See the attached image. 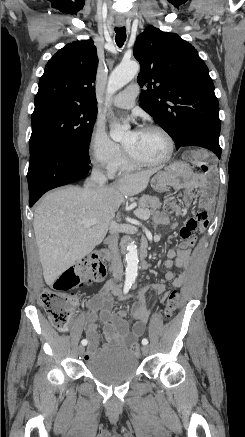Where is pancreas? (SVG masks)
Wrapping results in <instances>:
<instances>
[{
	"label": "pancreas",
	"mask_w": 245,
	"mask_h": 437,
	"mask_svg": "<svg viewBox=\"0 0 245 437\" xmlns=\"http://www.w3.org/2000/svg\"><path fill=\"white\" fill-rule=\"evenodd\" d=\"M160 206L161 202L158 197L143 195L139 200V208L135 211V213L142 214L146 209L149 210V212H153Z\"/></svg>",
	"instance_id": "1"
}]
</instances>
